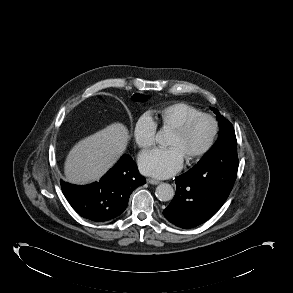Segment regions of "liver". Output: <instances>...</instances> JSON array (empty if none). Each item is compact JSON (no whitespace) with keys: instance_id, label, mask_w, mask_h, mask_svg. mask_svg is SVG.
I'll list each match as a JSON object with an SVG mask.
<instances>
[{"instance_id":"1","label":"liver","mask_w":293,"mask_h":293,"mask_svg":"<svg viewBox=\"0 0 293 293\" xmlns=\"http://www.w3.org/2000/svg\"><path fill=\"white\" fill-rule=\"evenodd\" d=\"M129 139L127 127L119 122L82 139L66 158V180L73 184L98 181L124 153Z\"/></svg>"}]
</instances>
